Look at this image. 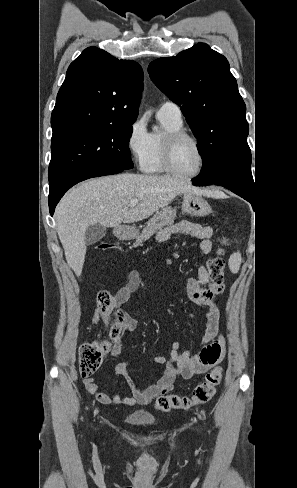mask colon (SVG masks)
I'll return each mask as SVG.
<instances>
[{
  "mask_svg": "<svg viewBox=\"0 0 297 488\" xmlns=\"http://www.w3.org/2000/svg\"><path fill=\"white\" fill-rule=\"evenodd\" d=\"M97 249L119 250L118 245L109 242H101ZM223 250L218 249L216 254L208 261V273L210 280L220 285L223 282ZM115 310L113 296L109 291H100L97 295V313L107 319L113 315ZM122 318L118 315L110 330V340L116 339L121 333ZM110 340L95 343H86L79 348V371L82 377L92 376L101 366L105 354L111 347ZM222 380V368L214 367L206 374L203 381L198 383L190 395L168 393L160 396L156 401V409L167 412L172 409H189L195 405L208 402L216 393V389Z\"/></svg>",
  "mask_w": 297,
  "mask_h": 488,
  "instance_id": "colon-1",
  "label": "colon"
}]
</instances>
